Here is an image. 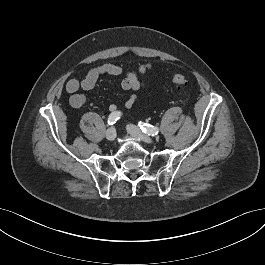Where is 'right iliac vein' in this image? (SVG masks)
<instances>
[{
  "instance_id": "63e3f726",
  "label": "right iliac vein",
  "mask_w": 265,
  "mask_h": 265,
  "mask_svg": "<svg viewBox=\"0 0 265 265\" xmlns=\"http://www.w3.org/2000/svg\"><path fill=\"white\" fill-rule=\"evenodd\" d=\"M106 138L109 141H113L116 137V130L114 127H110L107 131H106Z\"/></svg>"
}]
</instances>
